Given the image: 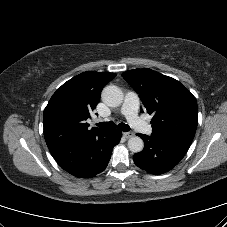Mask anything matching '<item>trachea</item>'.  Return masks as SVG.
<instances>
[{"mask_svg":"<svg viewBox=\"0 0 227 227\" xmlns=\"http://www.w3.org/2000/svg\"><path fill=\"white\" fill-rule=\"evenodd\" d=\"M96 125L103 129H113L117 127L119 130L124 132L130 131V127L125 123H119L118 126H116L114 122L109 121V122H100V123H97Z\"/></svg>","mask_w":227,"mask_h":227,"instance_id":"trachea-1","label":"trachea"}]
</instances>
